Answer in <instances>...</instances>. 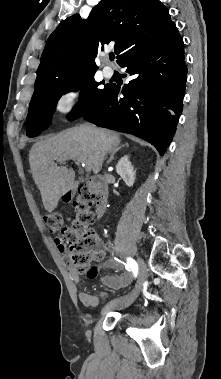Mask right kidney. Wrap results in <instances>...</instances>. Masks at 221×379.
Masks as SVG:
<instances>
[{"instance_id":"obj_1","label":"right kidney","mask_w":221,"mask_h":379,"mask_svg":"<svg viewBox=\"0 0 221 379\" xmlns=\"http://www.w3.org/2000/svg\"><path fill=\"white\" fill-rule=\"evenodd\" d=\"M118 175L124 180L128 187H132L135 182V170L129 161V156H123L116 165Z\"/></svg>"}]
</instances>
